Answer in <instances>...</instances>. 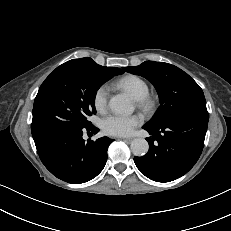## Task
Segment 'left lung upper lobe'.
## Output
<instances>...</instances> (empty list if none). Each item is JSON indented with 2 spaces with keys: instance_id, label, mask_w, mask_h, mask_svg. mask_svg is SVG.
<instances>
[{
  "instance_id": "left-lung-upper-lobe-1",
  "label": "left lung upper lobe",
  "mask_w": 231,
  "mask_h": 231,
  "mask_svg": "<svg viewBox=\"0 0 231 231\" xmlns=\"http://www.w3.org/2000/svg\"><path fill=\"white\" fill-rule=\"evenodd\" d=\"M123 69L145 77L158 92L160 106L146 125L157 126L188 111L207 110L202 89L187 73L174 65L145 61L139 66Z\"/></svg>"
}]
</instances>
